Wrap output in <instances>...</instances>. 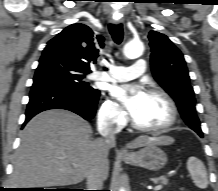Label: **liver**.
I'll return each mask as SVG.
<instances>
[{
    "mask_svg": "<svg viewBox=\"0 0 218 191\" xmlns=\"http://www.w3.org/2000/svg\"><path fill=\"white\" fill-rule=\"evenodd\" d=\"M91 134L90 124L70 111L56 109L38 114L22 131L20 146L14 154L11 185L39 188L78 184L95 164L101 163L105 166L106 179L109 148L101 138L91 140ZM173 142L169 136H140L127 147ZM62 154L68 157L61 158Z\"/></svg>",
    "mask_w": 218,
    "mask_h": 191,
    "instance_id": "obj_1",
    "label": "liver"
}]
</instances>
